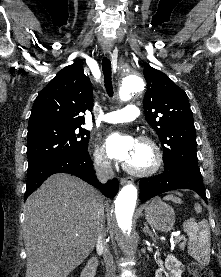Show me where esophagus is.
<instances>
[{
    "mask_svg": "<svg viewBox=\"0 0 221 277\" xmlns=\"http://www.w3.org/2000/svg\"><path fill=\"white\" fill-rule=\"evenodd\" d=\"M104 54H105V55L110 54V50H109V49H105V50H104ZM131 182H132V178H121V179H120V183H121L122 185L129 184V183H131Z\"/></svg>",
    "mask_w": 221,
    "mask_h": 277,
    "instance_id": "34e87169",
    "label": "esophagus"
}]
</instances>
